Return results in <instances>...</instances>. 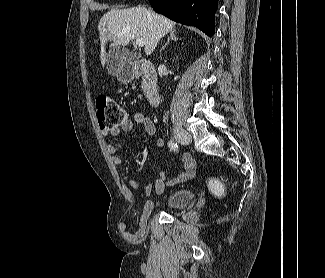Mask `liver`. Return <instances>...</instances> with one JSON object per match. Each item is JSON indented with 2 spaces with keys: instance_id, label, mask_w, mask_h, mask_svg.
Returning a JSON list of instances; mask_svg holds the SVG:
<instances>
[{
  "instance_id": "1",
  "label": "liver",
  "mask_w": 325,
  "mask_h": 278,
  "mask_svg": "<svg viewBox=\"0 0 325 278\" xmlns=\"http://www.w3.org/2000/svg\"><path fill=\"white\" fill-rule=\"evenodd\" d=\"M174 27V21L147 10L145 7L111 9L101 17L98 23L102 66L106 64V37H110L116 45L125 46L133 39L141 38L144 40L145 54L150 55L159 40Z\"/></svg>"
}]
</instances>
